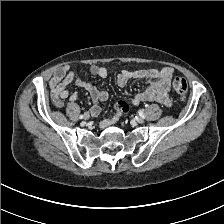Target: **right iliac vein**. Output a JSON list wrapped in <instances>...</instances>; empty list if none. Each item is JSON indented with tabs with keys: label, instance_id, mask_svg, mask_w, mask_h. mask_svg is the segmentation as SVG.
I'll use <instances>...</instances> for the list:
<instances>
[{
	"label": "right iliac vein",
	"instance_id": "63e3f726",
	"mask_svg": "<svg viewBox=\"0 0 224 224\" xmlns=\"http://www.w3.org/2000/svg\"><path fill=\"white\" fill-rule=\"evenodd\" d=\"M89 117H90V115L88 113H85L84 119L87 120V119H89Z\"/></svg>",
	"mask_w": 224,
	"mask_h": 224
}]
</instances>
